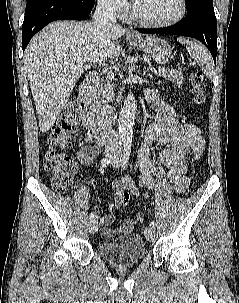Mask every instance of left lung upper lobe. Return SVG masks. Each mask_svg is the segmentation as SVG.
<instances>
[{"instance_id":"obj_1","label":"left lung upper lobe","mask_w":239,"mask_h":303,"mask_svg":"<svg viewBox=\"0 0 239 303\" xmlns=\"http://www.w3.org/2000/svg\"><path fill=\"white\" fill-rule=\"evenodd\" d=\"M187 6V14H191L201 8H213V0H185Z\"/></svg>"}]
</instances>
